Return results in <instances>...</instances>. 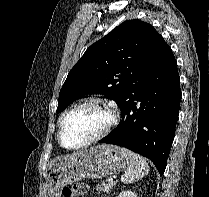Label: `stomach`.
I'll list each match as a JSON object with an SVG mask.
<instances>
[{"instance_id": "0dacf381", "label": "stomach", "mask_w": 209, "mask_h": 197, "mask_svg": "<svg viewBox=\"0 0 209 197\" xmlns=\"http://www.w3.org/2000/svg\"><path fill=\"white\" fill-rule=\"evenodd\" d=\"M126 158L114 145H98L57 164L46 180L48 197H60L64 186L84 178H102L122 171Z\"/></svg>"}]
</instances>
